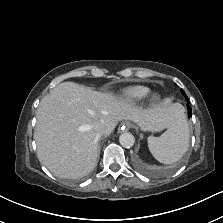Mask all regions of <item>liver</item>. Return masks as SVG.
<instances>
[{
  "mask_svg": "<svg viewBox=\"0 0 223 223\" xmlns=\"http://www.w3.org/2000/svg\"><path fill=\"white\" fill-rule=\"evenodd\" d=\"M183 107L168 100L151 109H141L123 97L93 91L63 82L46 95L36 112L34 139L39 161L61 178H79L93 170L100 135H109L118 121L131 120L143 130L157 132L170 127Z\"/></svg>",
  "mask_w": 223,
  "mask_h": 223,
  "instance_id": "1",
  "label": "liver"
}]
</instances>
